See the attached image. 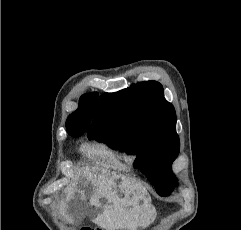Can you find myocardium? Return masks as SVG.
I'll return each instance as SVG.
<instances>
[{"label": "myocardium", "mask_w": 241, "mask_h": 230, "mask_svg": "<svg viewBox=\"0 0 241 230\" xmlns=\"http://www.w3.org/2000/svg\"><path fill=\"white\" fill-rule=\"evenodd\" d=\"M139 155L135 150H128L127 153L125 154V159L129 163H134L138 160Z\"/></svg>", "instance_id": "f54148a6"}]
</instances>
